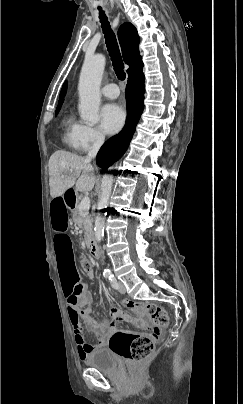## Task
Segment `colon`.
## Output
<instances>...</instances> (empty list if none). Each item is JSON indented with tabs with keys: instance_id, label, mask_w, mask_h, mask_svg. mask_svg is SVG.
Returning a JSON list of instances; mask_svg holds the SVG:
<instances>
[{
	"instance_id": "colon-1",
	"label": "colon",
	"mask_w": 243,
	"mask_h": 404,
	"mask_svg": "<svg viewBox=\"0 0 243 404\" xmlns=\"http://www.w3.org/2000/svg\"><path fill=\"white\" fill-rule=\"evenodd\" d=\"M80 266L82 270L90 271L92 264L89 259L82 258ZM123 304L131 310L146 312L156 325L150 333L118 330L109 339V347L114 353L131 362L139 363L153 353L160 335L159 327H165L168 324V313L163 307L154 303L126 299Z\"/></svg>"
}]
</instances>
